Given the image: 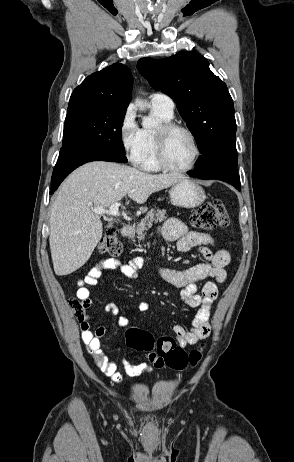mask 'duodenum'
<instances>
[{"label": "duodenum", "mask_w": 294, "mask_h": 462, "mask_svg": "<svg viewBox=\"0 0 294 462\" xmlns=\"http://www.w3.org/2000/svg\"><path fill=\"white\" fill-rule=\"evenodd\" d=\"M133 232V227L129 224L127 225H124L122 228H121V235L124 236V237H127L129 235H131Z\"/></svg>", "instance_id": "410a0bca"}]
</instances>
